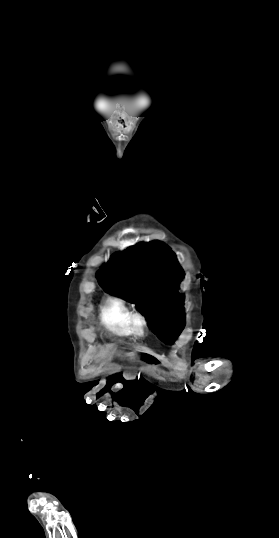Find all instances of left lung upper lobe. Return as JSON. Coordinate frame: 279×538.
I'll use <instances>...</instances> for the list:
<instances>
[{
	"label": "left lung upper lobe",
	"mask_w": 279,
	"mask_h": 538,
	"mask_svg": "<svg viewBox=\"0 0 279 538\" xmlns=\"http://www.w3.org/2000/svg\"><path fill=\"white\" fill-rule=\"evenodd\" d=\"M182 276L175 253L159 242L117 252L97 273L106 292L136 304L159 339L166 334L178 337L185 326L183 299L177 291Z\"/></svg>",
	"instance_id": "5c2ea615"
}]
</instances>
